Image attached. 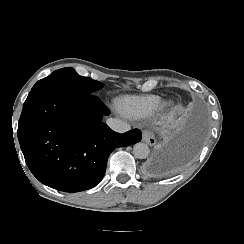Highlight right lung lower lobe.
Segmentation results:
<instances>
[{
  "mask_svg": "<svg viewBox=\"0 0 244 244\" xmlns=\"http://www.w3.org/2000/svg\"><path fill=\"white\" fill-rule=\"evenodd\" d=\"M108 114L93 94L58 88L31 91L17 134L33 175L65 192L96 186L104 176L110 153L142 138L138 129L113 132L102 122Z\"/></svg>",
  "mask_w": 244,
  "mask_h": 244,
  "instance_id": "1",
  "label": "right lung lower lobe"
}]
</instances>
